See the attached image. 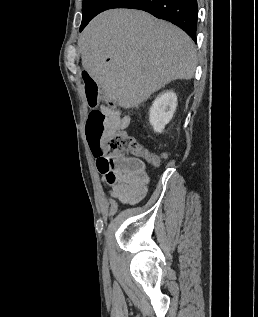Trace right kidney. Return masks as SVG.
<instances>
[{
  "label": "right kidney",
  "instance_id": "obj_1",
  "mask_svg": "<svg viewBox=\"0 0 258 317\" xmlns=\"http://www.w3.org/2000/svg\"><path fill=\"white\" fill-rule=\"evenodd\" d=\"M177 106V96L173 90L161 92L157 98L153 100V104L149 110V120L155 132H163L165 124L170 122Z\"/></svg>",
  "mask_w": 258,
  "mask_h": 317
}]
</instances>
